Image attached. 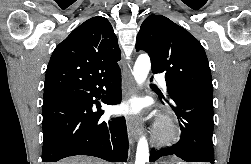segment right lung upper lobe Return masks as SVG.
Returning <instances> with one entry per match:
<instances>
[{
  "label": "right lung upper lobe",
  "instance_id": "obj_1",
  "mask_svg": "<svg viewBox=\"0 0 251 164\" xmlns=\"http://www.w3.org/2000/svg\"><path fill=\"white\" fill-rule=\"evenodd\" d=\"M120 53L110 22L102 16L88 19L54 50L46 70L44 92L110 77L120 69Z\"/></svg>",
  "mask_w": 251,
  "mask_h": 164
}]
</instances>
